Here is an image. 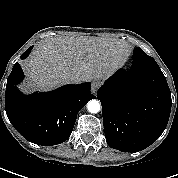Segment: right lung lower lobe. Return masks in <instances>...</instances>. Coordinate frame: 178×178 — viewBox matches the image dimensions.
I'll return each mask as SVG.
<instances>
[{
	"mask_svg": "<svg viewBox=\"0 0 178 178\" xmlns=\"http://www.w3.org/2000/svg\"><path fill=\"white\" fill-rule=\"evenodd\" d=\"M33 46L22 55L25 59ZM18 62L13 66L6 86L5 110L14 128L28 141L51 146L66 141L72 131L78 112L95 96L90 83L66 85L48 93L24 95L15 84L23 79Z\"/></svg>",
	"mask_w": 178,
	"mask_h": 178,
	"instance_id": "98d812e1",
	"label": "right lung lower lobe"
}]
</instances>
